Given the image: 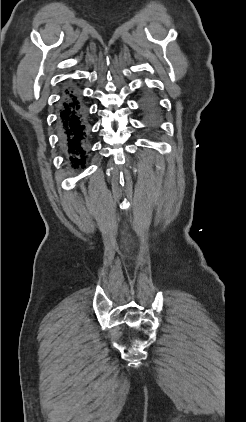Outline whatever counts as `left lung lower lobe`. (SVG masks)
I'll use <instances>...</instances> for the list:
<instances>
[{"label": "left lung lower lobe", "mask_w": 246, "mask_h": 422, "mask_svg": "<svg viewBox=\"0 0 246 422\" xmlns=\"http://www.w3.org/2000/svg\"><path fill=\"white\" fill-rule=\"evenodd\" d=\"M142 105H143L144 110L149 115V117H152V114L154 113V101L152 97H150L149 95H146L143 98Z\"/></svg>", "instance_id": "left-lung-lower-lobe-1"}]
</instances>
